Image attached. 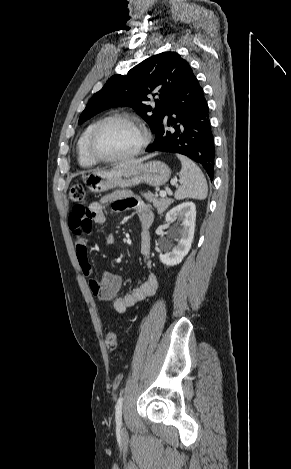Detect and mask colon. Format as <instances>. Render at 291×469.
Instances as JSON below:
<instances>
[{
    "label": "colon",
    "mask_w": 291,
    "mask_h": 469,
    "mask_svg": "<svg viewBox=\"0 0 291 469\" xmlns=\"http://www.w3.org/2000/svg\"><path fill=\"white\" fill-rule=\"evenodd\" d=\"M85 190L79 185H73L70 189L69 197L72 202L81 203L85 200ZM77 210L84 212L86 209L82 205L76 206ZM105 345L108 350L115 351L118 347V336L116 332L112 329H108L105 333Z\"/></svg>",
    "instance_id": "colon-1"
}]
</instances>
